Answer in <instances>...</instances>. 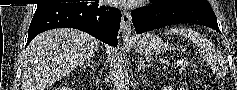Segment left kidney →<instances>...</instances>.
Segmentation results:
<instances>
[{
    "label": "left kidney",
    "instance_id": "5707ae66",
    "mask_svg": "<svg viewBox=\"0 0 237 90\" xmlns=\"http://www.w3.org/2000/svg\"><path fill=\"white\" fill-rule=\"evenodd\" d=\"M164 90H173V88H170V86L168 88V86H166V88H164Z\"/></svg>",
    "mask_w": 237,
    "mask_h": 90
}]
</instances>
